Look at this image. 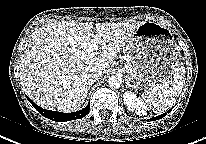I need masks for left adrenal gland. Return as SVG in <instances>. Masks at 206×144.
<instances>
[{
  "instance_id": "left-adrenal-gland-1",
  "label": "left adrenal gland",
  "mask_w": 206,
  "mask_h": 144,
  "mask_svg": "<svg viewBox=\"0 0 206 144\" xmlns=\"http://www.w3.org/2000/svg\"><path fill=\"white\" fill-rule=\"evenodd\" d=\"M126 87H130V83H129L128 79H126Z\"/></svg>"
}]
</instances>
